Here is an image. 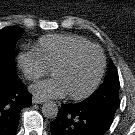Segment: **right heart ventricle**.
I'll return each mask as SVG.
<instances>
[{"mask_svg":"<svg viewBox=\"0 0 135 135\" xmlns=\"http://www.w3.org/2000/svg\"><path fill=\"white\" fill-rule=\"evenodd\" d=\"M91 44L83 37L70 34H49L41 37L35 46L45 64L51 68L76 47Z\"/></svg>","mask_w":135,"mask_h":135,"instance_id":"obj_1","label":"right heart ventricle"}]
</instances>
